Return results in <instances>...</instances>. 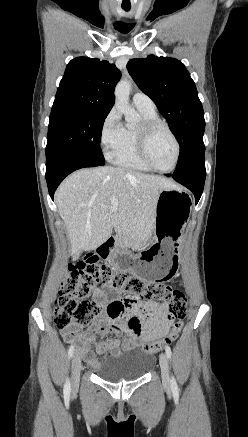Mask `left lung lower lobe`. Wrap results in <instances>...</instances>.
I'll return each instance as SVG.
<instances>
[{
	"label": "left lung lower lobe",
	"instance_id": "obj_1",
	"mask_svg": "<svg viewBox=\"0 0 248 437\" xmlns=\"http://www.w3.org/2000/svg\"><path fill=\"white\" fill-rule=\"evenodd\" d=\"M167 176L170 177V175ZM171 177L193 192L197 204L202 195L206 177L205 159L198 160L192 168L173 174Z\"/></svg>",
	"mask_w": 248,
	"mask_h": 437
}]
</instances>
